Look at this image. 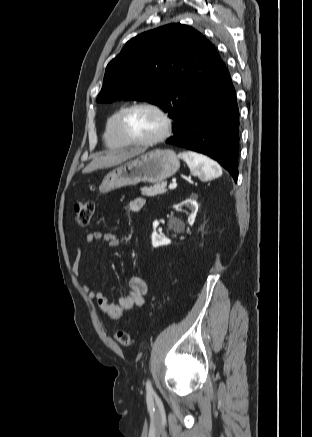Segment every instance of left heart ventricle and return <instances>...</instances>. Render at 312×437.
<instances>
[{
	"mask_svg": "<svg viewBox=\"0 0 312 437\" xmlns=\"http://www.w3.org/2000/svg\"><path fill=\"white\" fill-rule=\"evenodd\" d=\"M126 129L135 139L148 140L159 135L164 127L163 120L153 110L138 108L126 119Z\"/></svg>",
	"mask_w": 312,
	"mask_h": 437,
	"instance_id": "left-heart-ventricle-1",
	"label": "left heart ventricle"
}]
</instances>
